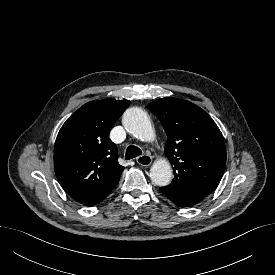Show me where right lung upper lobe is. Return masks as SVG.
<instances>
[{
	"label": "right lung upper lobe",
	"mask_w": 275,
	"mask_h": 275,
	"mask_svg": "<svg viewBox=\"0 0 275 275\" xmlns=\"http://www.w3.org/2000/svg\"><path fill=\"white\" fill-rule=\"evenodd\" d=\"M130 101L105 99L80 107L61 127L54 148L55 174L74 200L104 198L118 184L122 170L109 132Z\"/></svg>",
	"instance_id": "right-lung-upper-lobe-1"
}]
</instances>
